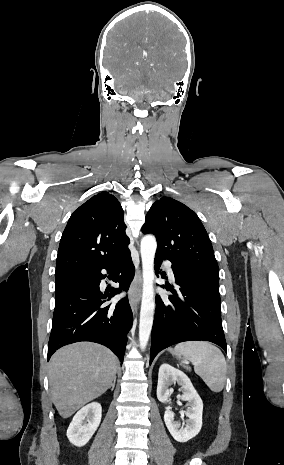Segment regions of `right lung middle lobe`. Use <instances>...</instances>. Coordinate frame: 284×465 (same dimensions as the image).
<instances>
[{
	"mask_svg": "<svg viewBox=\"0 0 284 465\" xmlns=\"http://www.w3.org/2000/svg\"><path fill=\"white\" fill-rule=\"evenodd\" d=\"M62 282H64V281H56V285H59V284H61Z\"/></svg>",
	"mask_w": 284,
	"mask_h": 465,
	"instance_id": "dd1d6c3e",
	"label": "right lung middle lobe"
}]
</instances>
